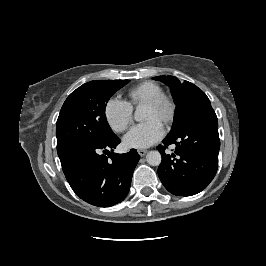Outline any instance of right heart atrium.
Masks as SVG:
<instances>
[{
	"label": "right heart atrium",
	"instance_id": "obj_1",
	"mask_svg": "<svg viewBox=\"0 0 266 266\" xmlns=\"http://www.w3.org/2000/svg\"><path fill=\"white\" fill-rule=\"evenodd\" d=\"M104 114L114 131L123 132L132 122L133 108L128 102L112 97L105 105Z\"/></svg>",
	"mask_w": 266,
	"mask_h": 266
}]
</instances>
